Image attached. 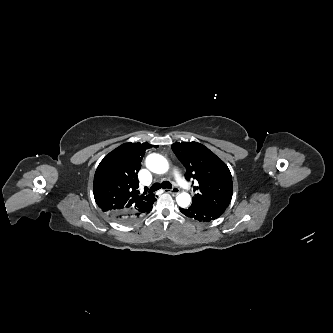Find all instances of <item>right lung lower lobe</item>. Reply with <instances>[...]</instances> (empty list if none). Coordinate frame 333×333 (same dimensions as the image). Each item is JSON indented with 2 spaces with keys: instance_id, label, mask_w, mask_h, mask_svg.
Returning a JSON list of instances; mask_svg holds the SVG:
<instances>
[{
  "instance_id": "right-lung-lower-lobe-1",
  "label": "right lung lower lobe",
  "mask_w": 333,
  "mask_h": 333,
  "mask_svg": "<svg viewBox=\"0 0 333 333\" xmlns=\"http://www.w3.org/2000/svg\"><path fill=\"white\" fill-rule=\"evenodd\" d=\"M156 201V199L146 205L141 207L140 209L136 210V211H132V212H117L114 214H108L109 216H111L114 220L119 221V222H129V221H134L137 220L138 218H140L143 214L148 213L151 211L152 209V204Z\"/></svg>"
}]
</instances>
